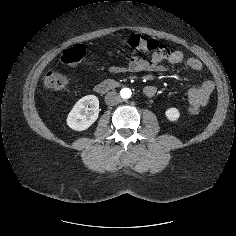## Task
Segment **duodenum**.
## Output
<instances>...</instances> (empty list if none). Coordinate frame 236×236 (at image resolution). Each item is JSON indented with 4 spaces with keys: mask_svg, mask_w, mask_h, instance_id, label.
Returning <instances> with one entry per match:
<instances>
[{
    "mask_svg": "<svg viewBox=\"0 0 236 236\" xmlns=\"http://www.w3.org/2000/svg\"><path fill=\"white\" fill-rule=\"evenodd\" d=\"M120 86V83L115 80H105L102 82H99L95 85V90L98 93H107L110 92L111 90H114Z\"/></svg>",
    "mask_w": 236,
    "mask_h": 236,
    "instance_id": "410a0bca",
    "label": "duodenum"
}]
</instances>
